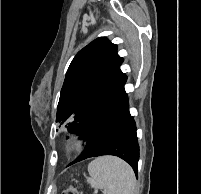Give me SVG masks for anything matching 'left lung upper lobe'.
Instances as JSON below:
<instances>
[{"label": "left lung upper lobe", "instance_id": "1", "mask_svg": "<svg viewBox=\"0 0 201 194\" xmlns=\"http://www.w3.org/2000/svg\"><path fill=\"white\" fill-rule=\"evenodd\" d=\"M117 46L99 37L81 49L66 73L57 107L56 122L77 134L127 80Z\"/></svg>", "mask_w": 201, "mask_h": 194}]
</instances>
